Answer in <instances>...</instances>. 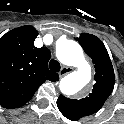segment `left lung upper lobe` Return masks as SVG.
<instances>
[{"instance_id": "1", "label": "left lung upper lobe", "mask_w": 124, "mask_h": 124, "mask_svg": "<svg viewBox=\"0 0 124 124\" xmlns=\"http://www.w3.org/2000/svg\"><path fill=\"white\" fill-rule=\"evenodd\" d=\"M76 40L95 64V84L92 92L82 99H69L62 95L57 100L60 112L68 119L77 121L97 112L113 91L115 76L108 52L102 41L92 34H81Z\"/></svg>"}]
</instances>
